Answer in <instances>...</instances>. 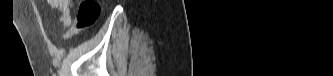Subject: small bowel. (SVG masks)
<instances>
[{
  "instance_id": "obj_1",
  "label": "small bowel",
  "mask_w": 333,
  "mask_h": 76,
  "mask_svg": "<svg viewBox=\"0 0 333 76\" xmlns=\"http://www.w3.org/2000/svg\"><path fill=\"white\" fill-rule=\"evenodd\" d=\"M70 3V0H47V6L58 12L59 22L64 27H69L72 23Z\"/></svg>"
}]
</instances>
